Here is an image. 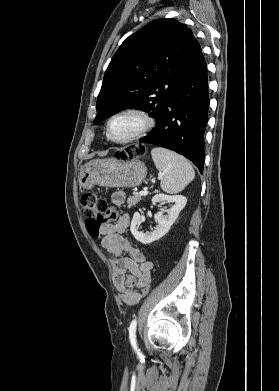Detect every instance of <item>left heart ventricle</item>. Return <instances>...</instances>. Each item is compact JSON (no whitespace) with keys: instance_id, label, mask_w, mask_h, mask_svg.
<instances>
[{"instance_id":"b2bd125f","label":"left heart ventricle","mask_w":279,"mask_h":391,"mask_svg":"<svg viewBox=\"0 0 279 391\" xmlns=\"http://www.w3.org/2000/svg\"><path fill=\"white\" fill-rule=\"evenodd\" d=\"M140 119L134 115H123L113 120L110 126V135L112 138L121 140L138 129Z\"/></svg>"}]
</instances>
